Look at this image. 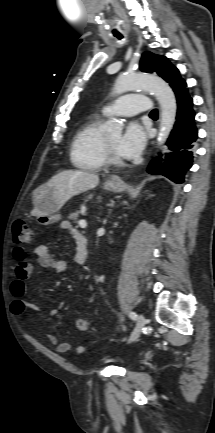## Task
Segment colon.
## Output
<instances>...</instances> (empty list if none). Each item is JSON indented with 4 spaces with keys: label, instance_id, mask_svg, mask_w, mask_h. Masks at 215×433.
Segmentation results:
<instances>
[{
    "label": "colon",
    "instance_id": "obj_1",
    "mask_svg": "<svg viewBox=\"0 0 215 433\" xmlns=\"http://www.w3.org/2000/svg\"><path fill=\"white\" fill-rule=\"evenodd\" d=\"M33 238V229L26 222L18 221L14 224L13 240L14 243L18 246V249H22V246L31 243L33 241ZM75 324L77 329L80 331H90L94 329L91 322L85 318L76 319Z\"/></svg>",
    "mask_w": 215,
    "mask_h": 433
}]
</instances>
